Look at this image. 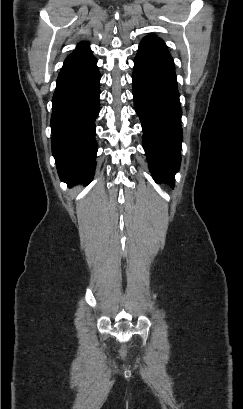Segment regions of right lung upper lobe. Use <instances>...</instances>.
<instances>
[{
  "label": "right lung upper lobe",
  "instance_id": "obj_1",
  "mask_svg": "<svg viewBox=\"0 0 243 409\" xmlns=\"http://www.w3.org/2000/svg\"><path fill=\"white\" fill-rule=\"evenodd\" d=\"M86 44H87V42L80 43L75 51L80 50L82 48H85L87 46Z\"/></svg>",
  "mask_w": 243,
  "mask_h": 409
}]
</instances>
